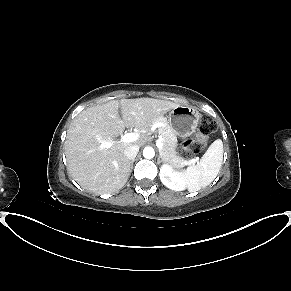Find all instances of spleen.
Instances as JSON below:
<instances>
[{"instance_id": "1", "label": "spleen", "mask_w": 291, "mask_h": 291, "mask_svg": "<svg viewBox=\"0 0 291 291\" xmlns=\"http://www.w3.org/2000/svg\"><path fill=\"white\" fill-rule=\"evenodd\" d=\"M222 159L223 143L222 140L217 139L196 165L180 173L186 181L188 190L195 192L211 184L220 171Z\"/></svg>"}]
</instances>
